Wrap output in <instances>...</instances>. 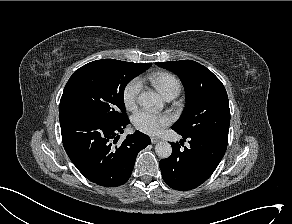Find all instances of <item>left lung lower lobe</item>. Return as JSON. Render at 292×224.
<instances>
[{
    "label": "left lung lower lobe",
    "instance_id": "0a47b994",
    "mask_svg": "<svg viewBox=\"0 0 292 224\" xmlns=\"http://www.w3.org/2000/svg\"><path fill=\"white\" fill-rule=\"evenodd\" d=\"M182 136V135H181ZM190 146L180 150L171 143L173 152L162 159L159 167L165 183L176 190H191L205 182L223 158L228 139L216 137L182 136Z\"/></svg>",
    "mask_w": 292,
    "mask_h": 224
}]
</instances>
